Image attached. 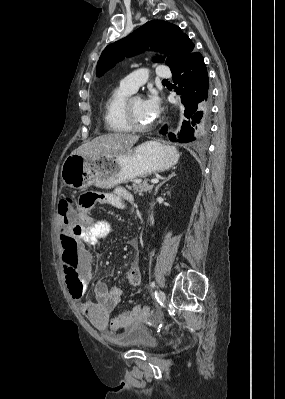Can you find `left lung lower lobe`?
I'll list each match as a JSON object with an SVG mask.
<instances>
[{"instance_id": "obj_1", "label": "left lung lower lobe", "mask_w": 285, "mask_h": 399, "mask_svg": "<svg viewBox=\"0 0 285 399\" xmlns=\"http://www.w3.org/2000/svg\"><path fill=\"white\" fill-rule=\"evenodd\" d=\"M174 83L179 85V94L185 107L187 121L183 122L179 143H188L200 140L205 135L209 117L211 95L209 91L208 73L203 61V56L193 50L186 55L180 65L172 71ZM167 126L160 133L165 134ZM169 138L175 140V135L170 133Z\"/></svg>"}]
</instances>
